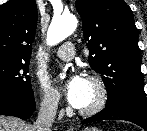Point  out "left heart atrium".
<instances>
[{
    "label": "left heart atrium",
    "mask_w": 147,
    "mask_h": 131,
    "mask_svg": "<svg viewBox=\"0 0 147 131\" xmlns=\"http://www.w3.org/2000/svg\"><path fill=\"white\" fill-rule=\"evenodd\" d=\"M88 81L80 74L71 75L62 85L63 94L70 105L80 108L84 102Z\"/></svg>",
    "instance_id": "1"
}]
</instances>
